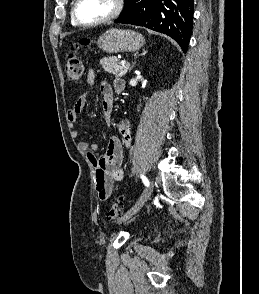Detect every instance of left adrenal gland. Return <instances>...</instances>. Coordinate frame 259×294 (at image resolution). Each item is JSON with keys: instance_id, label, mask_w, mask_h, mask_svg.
Returning a JSON list of instances; mask_svg holds the SVG:
<instances>
[{"instance_id": "left-adrenal-gland-1", "label": "left adrenal gland", "mask_w": 259, "mask_h": 294, "mask_svg": "<svg viewBox=\"0 0 259 294\" xmlns=\"http://www.w3.org/2000/svg\"><path fill=\"white\" fill-rule=\"evenodd\" d=\"M146 53H147V51L144 50L143 53H141V54H139L138 56H136V58L139 57V56H144V55H146ZM136 58H135L134 62L132 63V66H131L129 72H131V70L135 67V64H136Z\"/></svg>"}]
</instances>
